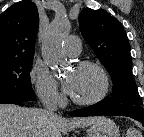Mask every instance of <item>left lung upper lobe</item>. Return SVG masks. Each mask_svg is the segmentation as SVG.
Returning <instances> with one entry per match:
<instances>
[{
  "label": "left lung upper lobe",
  "mask_w": 144,
  "mask_h": 137,
  "mask_svg": "<svg viewBox=\"0 0 144 137\" xmlns=\"http://www.w3.org/2000/svg\"><path fill=\"white\" fill-rule=\"evenodd\" d=\"M82 36L104 64L113 81L108 107L139 105V94L132 75L130 44L121 23L104 10L85 8L79 15Z\"/></svg>",
  "instance_id": "1"
}]
</instances>
